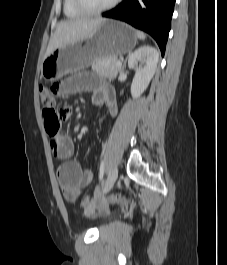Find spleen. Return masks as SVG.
Instances as JSON below:
<instances>
[{"mask_svg":"<svg viewBox=\"0 0 227 265\" xmlns=\"http://www.w3.org/2000/svg\"><path fill=\"white\" fill-rule=\"evenodd\" d=\"M136 36L140 40H144L146 38V35L142 31H139V30L136 31Z\"/></svg>","mask_w":227,"mask_h":265,"instance_id":"1","label":"spleen"}]
</instances>
